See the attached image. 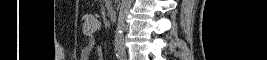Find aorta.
<instances>
[{"label":"aorta","instance_id":"obj_1","mask_svg":"<svg viewBox=\"0 0 267 60\" xmlns=\"http://www.w3.org/2000/svg\"><path fill=\"white\" fill-rule=\"evenodd\" d=\"M133 0H121L118 21L115 33V50L118 54L124 53L125 19L131 8Z\"/></svg>","mask_w":267,"mask_h":60}]
</instances>
